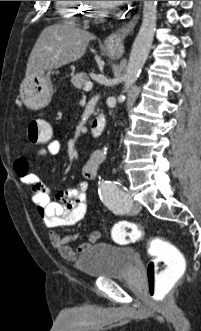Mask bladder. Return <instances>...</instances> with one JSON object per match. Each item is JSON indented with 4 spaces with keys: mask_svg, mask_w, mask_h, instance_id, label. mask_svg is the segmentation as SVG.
I'll return each mask as SVG.
<instances>
[{
    "mask_svg": "<svg viewBox=\"0 0 201 331\" xmlns=\"http://www.w3.org/2000/svg\"><path fill=\"white\" fill-rule=\"evenodd\" d=\"M136 258L134 249L111 243H96L79 256L75 268L91 279H114L125 276Z\"/></svg>",
    "mask_w": 201,
    "mask_h": 331,
    "instance_id": "obj_1",
    "label": "bladder"
}]
</instances>
